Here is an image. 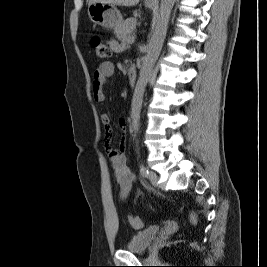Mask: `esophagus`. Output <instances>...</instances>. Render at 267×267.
Returning a JSON list of instances; mask_svg holds the SVG:
<instances>
[{"label":"esophagus","instance_id":"1","mask_svg":"<svg viewBox=\"0 0 267 267\" xmlns=\"http://www.w3.org/2000/svg\"><path fill=\"white\" fill-rule=\"evenodd\" d=\"M149 2H157L158 0H147Z\"/></svg>","mask_w":267,"mask_h":267}]
</instances>
